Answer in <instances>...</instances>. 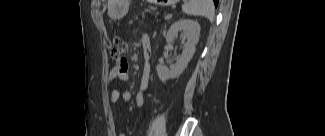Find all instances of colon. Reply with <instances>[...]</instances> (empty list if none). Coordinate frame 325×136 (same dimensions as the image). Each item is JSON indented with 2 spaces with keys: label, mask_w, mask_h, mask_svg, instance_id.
I'll return each instance as SVG.
<instances>
[{
  "label": "colon",
  "mask_w": 325,
  "mask_h": 136,
  "mask_svg": "<svg viewBox=\"0 0 325 136\" xmlns=\"http://www.w3.org/2000/svg\"><path fill=\"white\" fill-rule=\"evenodd\" d=\"M126 50H127L126 42L120 37H115L111 48L112 57L117 60L123 59V55L126 52Z\"/></svg>",
  "instance_id": "1"
}]
</instances>
